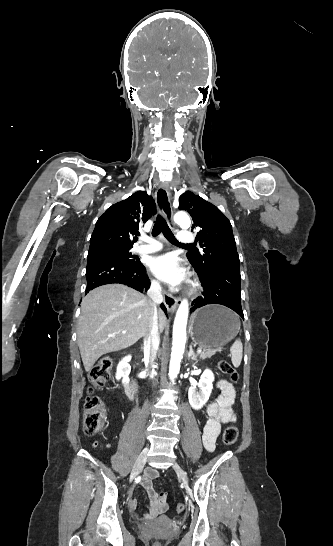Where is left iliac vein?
Here are the masks:
<instances>
[{"mask_svg":"<svg viewBox=\"0 0 333 546\" xmlns=\"http://www.w3.org/2000/svg\"><path fill=\"white\" fill-rule=\"evenodd\" d=\"M173 468L174 470L176 471V473L178 474V476L184 481V482H187V475L186 473L184 472V470L179 466L178 463H174L173 465Z\"/></svg>","mask_w":333,"mask_h":546,"instance_id":"1","label":"left iliac vein"}]
</instances>
